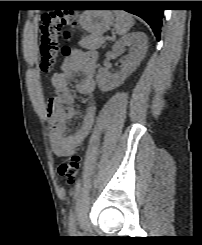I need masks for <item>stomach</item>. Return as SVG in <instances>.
Here are the masks:
<instances>
[{
    "label": "stomach",
    "instance_id": "stomach-1",
    "mask_svg": "<svg viewBox=\"0 0 202 245\" xmlns=\"http://www.w3.org/2000/svg\"><path fill=\"white\" fill-rule=\"evenodd\" d=\"M114 16L108 10H87L78 16V24L92 35L100 36L110 29Z\"/></svg>",
    "mask_w": 202,
    "mask_h": 245
}]
</instances>
